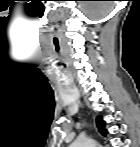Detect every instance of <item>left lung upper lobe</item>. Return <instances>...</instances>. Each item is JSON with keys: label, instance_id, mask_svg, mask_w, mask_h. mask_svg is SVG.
Instances as JSON below:
<instances>
[{"label": "left lung upper lobe", "instance_id": "1", "mask_svg": "<svg viewBox=\"0 0 140 147\" xmlns=\"http://www.w3.org/2000/svg\"><path fill=\"white\" fill-rule=\"evenodd\" d=\"M96 124H97L99 132L103 135H106L107 132L105 130V122L102 120V116L97 117Z\"/></svg>", "mask_w": 140, "mask_h": 147}]
</instances>
